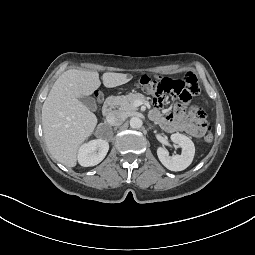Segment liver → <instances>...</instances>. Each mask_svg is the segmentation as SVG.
<instances>
[{"label": "liver", "mask_w": 255, "mask_h": 255, "mask_svg": "<svg viewBox=\"0 0 255 255\" xmlns=\"http://www.w3.org/2000/svg\"><path fill=\"white\" fill-rule=\"evenodd\" d=\"M132 76L106 72L103 84L113 88L129 82ZM101 85L97 71L70 69L53 84L42 107V126L51 155L67 167L77 164L80 145L92 134L97 117L80 100Z\"/></svg>", "instance_id": "6515ba94"}]
</instances>
